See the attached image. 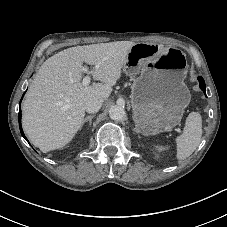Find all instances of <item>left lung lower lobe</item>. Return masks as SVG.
I'll list each match as a JSON object with an SVG mask.
<instances>
[{
	"instance_id": "left-lung-lower-lobe-1",
	"label": "left lung lower lobe",
	"mask_w": 227,
	"mask_h": 227,
	"mask_svg": "<svg viewBox=\"0 0 227 227\" xmlns=\"http://www.w3.org/2000/svg\"><path fill=\"white\" fill-rule=\"evenodd\" d=\"M199 83H200V88L201 90L205 93L206 87H205V82L202 77H198Z\"/></svg>"
}]
</instances>
